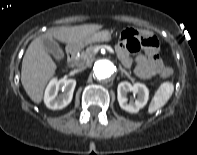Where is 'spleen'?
Listing matches in <instances>:
<instances>
[{"label": "spleen", "mask_w": 197, "mask_h": 155, "mask_svg": "<svg viewBox=\"0 0 197 155\" xmlns=\"http://www.w3.org/2000/svg\"><path fill=\"white\" fill-rule=\"evenodd\" d=\"M174 91V85L171 82L162 83L159 88L156 90L151 103L148 108V112L150 114L154 113L161 107H163L170 97L172 96Z\"/></svg>", "instance_id": "1"}]
</instances>
